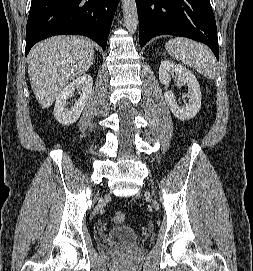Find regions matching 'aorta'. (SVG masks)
Here are the masks:
<instances>
[{
	"mask_svg": "<svg viewBox=\"0 0 253 271\" xmlns=\"http://www.w3.org/2000/svg\"><path fill=\"white\" fill-rule=\"evenodd\" d=\"M124 24L130 33H135L138 27L136 0H122Z\"/></svg>",
	"mask_w": 253,
	"mask_h": 271,
	"instance_id": "762f6f07",
	"label": "aorta"
}]
</instances>
